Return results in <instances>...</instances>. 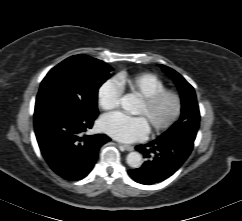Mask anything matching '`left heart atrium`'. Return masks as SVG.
Masks as SVG:
<instances>
[{
    "mask_svg": "<svg viewBox=\"0 0 242 221\" xmlns=\"http://www.w3.org/2000/svg\"><path fill=\"white\" fill-rule=\"evenodd\" d=\"M103 132L121 142H133L145 137L148 124L143 117H132L115 112L102 117Z\"/></svg>",
    "mask_w": 242,
    "mask_h": 221,
    "instance_id": "39dd6f15",
    "label": "left heart atrium"
}]
</instances>
